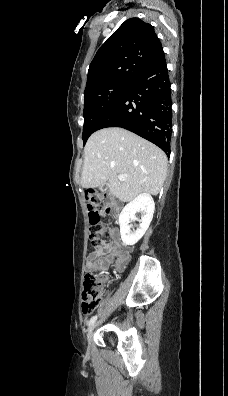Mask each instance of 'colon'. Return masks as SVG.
<instances>
[{
  "instance_id": "obj_1",
  "label": "colon",
  "mask_w": 228,
  "mask_h": 396,
  "mask_svg": "<svg viewBox=\"0 0 228 396\" xmlns=\"http://www.w3.org/2000/svg\"><path fill=\"white\" fill-rule=\"evenodd\" d=\"M87 208L91 226L89 239L93 245L101 246L109 236L107 223L113 210L112 204L106 196L89 192ZM103 289L104 280L100 275L94 273L85 275L82 292V311L84 314H90L96 309L101 300Z\"/></svg>"
}]
</instances>
